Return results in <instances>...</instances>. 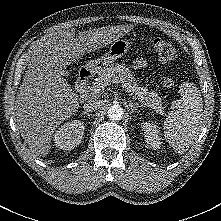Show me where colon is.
I'll list each match as a JSON object with an SVG mask.
<instances>
[{
  "label": "colon",
  "mask_w": 221,
  "mask_h": 221,
  "mask_svg": "<svg viewBox=\"0 0 221 221\" xmlns=\"http://www.w3.org/2000/svg\"><path fill=\"white\" fill-rule=\"evenodd\" d=\"M149 44L161 62H170L176 58L175 48L167 41L154 37ZM161 85L163 88L171 90L175 86V79L172 76H164L161 79Z\"/></svg>",
  "instance_id": "1"
}]
</instances>
